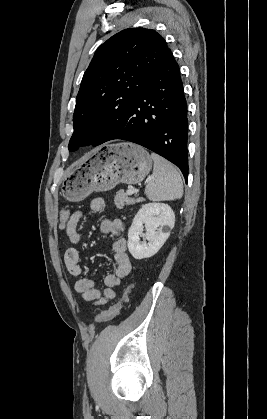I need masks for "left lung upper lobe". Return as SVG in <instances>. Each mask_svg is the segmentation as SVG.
<instances>
[{"mask_svg":"<svg viewBox=\"0 0 267 419\" xmlns=\"http://www.w3.org/2000/svg\"><path fill=\"white\" fill-rule=\"evenodd\" d=\"M168 51L163 37L145 28L122 30L99 46L76 98L70 151L93 145L106 123L123 118Z\"/></svg>","mask_w":267,"mask_h":419,"instance_id":"1","label":"left lung upper lobe"}]
</instances>
